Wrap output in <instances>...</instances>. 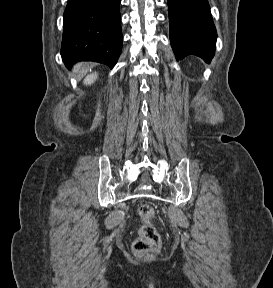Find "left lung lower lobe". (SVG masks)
Returning a JSON list of instances; mask_svg holds the SVG:
<instances>
[{
	"label": "left lung lower lobe",
	"mask_w": 273,
	"mask_h": 288,
	"mask_svg": "<svg viewBox=\"0 0 273 288\" xmlns=\"http://www.w3.org/2000/svg\"><path fill=\"white\" fill-rule=\"evenodd\" d=\"M170 41L177 60L196 55L210 63L217 33L208 0H168Z\"/></svg>",
	"instance_id": "0a47b994"
}]
</instances>
